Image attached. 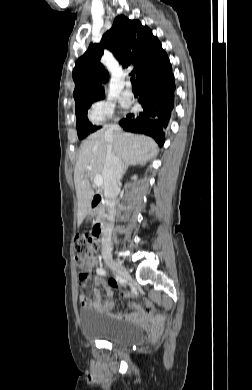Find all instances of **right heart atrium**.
I'll return each instance as SVG.
<instances>
[{"label":"right heart atrium","mask_w":252,"mask_h":390,"mask_svg":"<svg viewBox=\"0 0 252 390\" xmlns=\"http://www.w3.org/2000/svg\"><path fill=\"white\" fill-rule=\"evenodd\" d=\"M115 116V106L111 101L108 100H97L95 101L89 111V120L96 125H102L105 122L113 119Z\"/></svg>","instance_id":"1"}]
</instances>
